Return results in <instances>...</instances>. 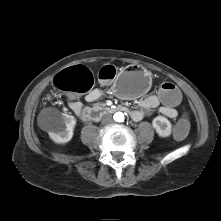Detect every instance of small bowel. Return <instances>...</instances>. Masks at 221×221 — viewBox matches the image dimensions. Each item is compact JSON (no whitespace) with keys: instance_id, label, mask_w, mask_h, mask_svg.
Instances as JSON below:
<instances>
[{"instance_id":"obj_1","label":"small bowel","mask_w":221,"mask_h":221,"mask_svg":"<svg viewBox=\"0 0 221 221\" xmlns=\"http://www.w3.org/2000/svg\"><path fill=\"white\" fill-rule=\"evenodd\" d=\"M102 95V90L97 88L92 89L86 94L85 100L89 103H92L100 99ZM138 103L141 109L133 110L131 112V117L134 121H141L145 116L150 115L156 109H158L162 115L170 119H175L178 116L177 109H169L163 106L157 95L145 96L139 99ZM68 104L70 109L79 117H82L84 111L87 109L72 95L69 96Z\"/></svg>"}]
</instances>
